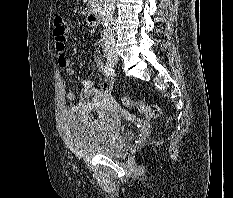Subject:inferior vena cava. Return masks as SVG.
Wrapping results in <instances>:
<instances>
[{
  "label": "inferior vena cava",
  "mask_w": 233,
  "mask_h": 198,
  "mask_svg": "<svg viewBox=\"0 0 233 198\" xmlns=\"http://www.w3.org/2000/svg\"><path fill=\"white\" fill-rule=\"evenodd\" d=\"M103 48L105 52L115 51L116 50V42L115 36L112 28L109 25L105 26L103 31Z\"/></svg>",
  "instance_id": "602c4592"
}]
</instances>
